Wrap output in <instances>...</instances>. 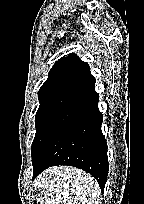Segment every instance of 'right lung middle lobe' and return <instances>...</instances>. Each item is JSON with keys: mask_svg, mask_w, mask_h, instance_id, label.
Returning a JSON list of instances; mask_svg holds the SVG:
<instances>
[{"mask_svg": "<svg viewBox=\"0 0 144 204\" xmlns=\"http://www.w3.org/2000/svg\"><path fill=\"white\" fill-rule=\"evenodd\" d=\"M75 100L60 96L40 103L36 112V134L32 143V163L52 134L58 120Z\"/></svg>", "mask_w": 144, "mask_h": 204, "instance_id": "1", "label": "right lung middle lobe"}]
</instances>
